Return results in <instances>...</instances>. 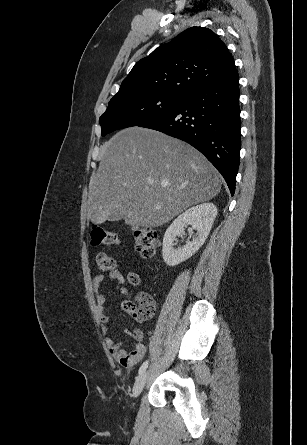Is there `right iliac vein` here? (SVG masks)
<instances>
[{"mask_svg": "<svg viewBox=\"0 0 307 445\" xmlns=\"http://www.w3.org/2000/svg\"><path fill=\"white\" fill-rule=\"evenodd\" d=\"M146 380H147V373L146 372H143L136 379V381L134 383V387H133V397L134 398H137L141 394V392H142V390H143V388H144V386L146 384Z\"/></svg>", "mask_w": 307, "mask_h": 445, "instance_id": "obj_1", "label": "right iliac vein"}]
</instances>
